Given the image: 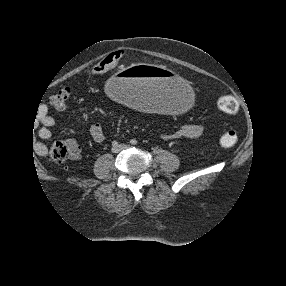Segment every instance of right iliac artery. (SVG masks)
<instances>
[{"instance_id":"obj_1","label":"right iliac artery","mask_w":286,"mask_h":286,"mask_svg":"<svg viewBox=\"0 0 286 286\" xmlns=\"http://www.w3.org/2000/svg\"><path fill=\"white\" fill-rule=\"evenodd\" d=\"M117 145H118V142H117V141H113V142H112V146H113V147H116Z\"/></svg>"}]
</instances>
